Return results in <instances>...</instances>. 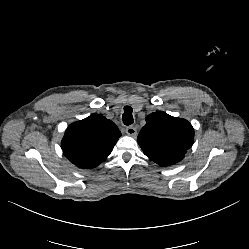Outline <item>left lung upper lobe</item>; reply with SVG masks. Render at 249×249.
Returning a JSON list of instances; mask_svg holds the SVG:
<instances>
[{"mask_svg":"<svg viewBox=\"0 0 249 249\" xmlns=\"http://www.w3.org/2000/svg\"><path fill=\"white\" fill-rule=\"evenodd\" d=\"M137 139L149 159L161 166H168L184 158L192 146L194 129L185 119L157 111L146 117V125Z\"/></svg>","mask_w":249,"mask_h":249,"instance_id":"left-lung-upper-lobe-1","label":"left lung upper lobe"}]
</instances>
